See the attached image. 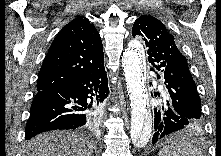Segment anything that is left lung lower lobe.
Wrapping results in <instances>:
<instances>
[{"mask_svg": "<svg viewBox=\"0 0 221 156\" xmlns=\"http://www.w3.org/2000/svg\"><path fill=\"white\" fill-rule=\"evenodd\" d=\"M158 78H160V75H158ZM154 95L160 96V93H154ZM190 117L191 116L179 112L175 106H173L168 96L161 97L158 108L154 109L155 133L152 138V143L155 144L161 138L178 130L194 128L201 124V122H197L196 119Z\"/></svg>", "mask_w": 221, "mask_h": 156, "instance_id": "obj_1", "label": "left lung lower lobe"}]
</instances>
